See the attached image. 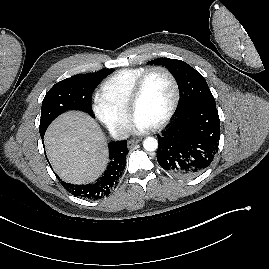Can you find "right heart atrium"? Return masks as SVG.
Here are the masks:
<instances>
[{"label":"right heart atrium","mask_w":269,"mask_h":269,"mask_svg":"<svg viewBox=\"0 0 269 269\" xmlns=\"http://www.w3.org/2000/svg\"><path fill=\"white\" fill-rule=\"evenodd\" d=\"M92 109L96 117L110 132L117 136L127 133L130 123L127 110L115 106L99 93L93 98Z\"/></svg>","instance_id":"1"}]
</instances>
